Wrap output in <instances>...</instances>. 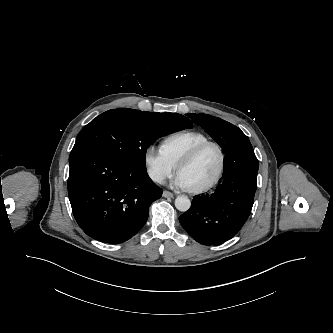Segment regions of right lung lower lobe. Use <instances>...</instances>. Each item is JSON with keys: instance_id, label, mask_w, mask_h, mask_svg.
Wrapping results in <instances>:
<instances>
[{"instance_id": "obj_1", "label": "right lung lower lobe", "mask_w": 333, "mask_h": 333, "mask_svg": "<svg viewBox=\"0 0 333 333\" xmlns=\"http://www.w3.org/2000/svg\"><path fill=\"white\" fill-rule=\"evenodd\" d=\"M69 165L73 215L87 235L101 242L117 244L134 236L163 192L146 169L133 168L93 146L74 147Z\"/></svg>"}]
</instances>
